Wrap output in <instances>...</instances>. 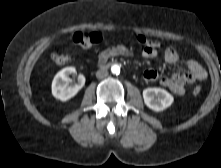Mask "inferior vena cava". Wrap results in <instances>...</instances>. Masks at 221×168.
Masks as SVG:
<instances>
[{
  "instance_id": "inferior-vena-cava-1",
  "label": "inferior vena cava",
  "mask_w": 221,
  "mask_h": 168,
  "mask_svg": "<svg viewBox=\"0 0 221 168\" xmlns=\"http://www.w3.org/2000/svg\"><path fill=\"white\" fill-rule=\"evenodd\" d=\"M108 76V71L106 69H99L96 72V77L98 79H103Z\"/></svg>"
}]
</instances>
